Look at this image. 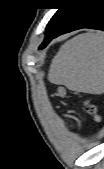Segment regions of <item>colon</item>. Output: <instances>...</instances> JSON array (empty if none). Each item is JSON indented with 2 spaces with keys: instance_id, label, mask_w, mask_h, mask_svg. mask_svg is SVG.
<instances>
[{
  "instance_id": "colon-1",
  "label": "colon",
  "mask_w": 104,
  "mask_h": 169,
  "mask_svg": "<svg viewBox=\"0 0 104 169\" xmlns=\"http://www.w3.org/2000/svg\"><path fill=\"white\" fill-rule=\"evenodd\" d=\"M64 94V90L63 89H59L58 90V95L59 96H63ZM85 105L87 107V110L90 114L92 115H96L97 114V106L93 103H91L90 101H86Z\"/></svg>"
}]
</instances>
